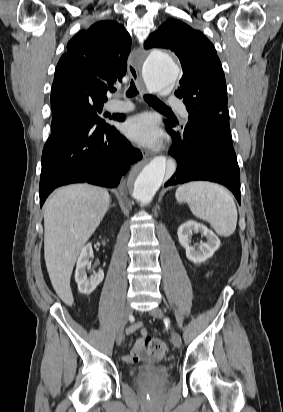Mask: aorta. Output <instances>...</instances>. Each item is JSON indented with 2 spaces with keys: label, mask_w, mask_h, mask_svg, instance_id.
<instances>
[{
  "label": "aorta",
  "mask_w": 283,
  "mask_h": 412,
  "mask_svg": "<svg viewBox=\"0 0 283 412\" xmlns=\"http://www.w3.org/2000/svg\"><path fill=\"white\" fill-rule=\"evenodd\" d=\"M142 74L148 90L161 93L171 89L178 76L179 68L164 51H152L143 63ZM172 170H175L173 166ZM166 174V158L155 157L148 164L135 171L131 177L133 197L141 204L152 201Z\"/></svg>",
  "instance_id": "aorta-1"
}]
</instances>
